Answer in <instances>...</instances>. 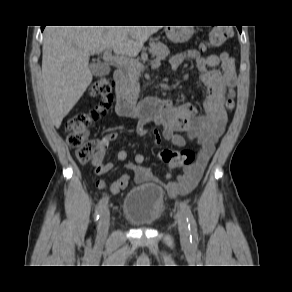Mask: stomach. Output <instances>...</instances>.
I'll list each match as a JSON object with an SVG mask.
<instances>
[{"instance_id": "obj_1", "label": "stomach", "mask_w": 292, "mask_h": 292, "mask_svg": "<svg viewBox=\"0 0 292 292\" xmlns=\"http://www.w3.org/2000/svg\"><path fill=\"white\" fill-rule=\"evenodd\" d=\"M193 32L194 29L192 26L170 27V29H166L168 39L175 43H183L188 41Z\"/></svg>"}]
</instances>
